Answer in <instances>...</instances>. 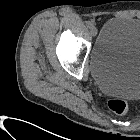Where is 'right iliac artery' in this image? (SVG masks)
<instances>
[{"label":"right iliac artery","mask_w":140,"mask_h":140,"mask_svg":"<svg viewBox=\"0 0 140 140\" xmlns=\"http://www.w3.org/2000/svg\"><path fill=\"white\" fill-rule=\"evenodd\" d=\"M93 26H94V24H93L92 22L89 21V22L87 23V27H88L89 29L92 28Z\"/></svg>","instance_id":"obj_1"}]
</instances>
